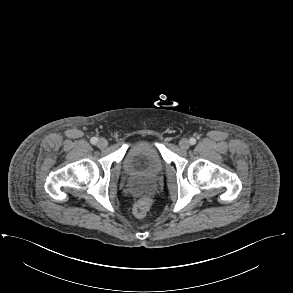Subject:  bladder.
<instances>
[{"mask_svg": "<svg viewBox=\"0 0 293 293\" xmlns=\"http://www.w3.org/2000/svg\"><path fill=\"white\" fill-rule=\"evenodd\" d=\"M123 169L129 177L151 185L162 176L164 162L156 146L141 142L128 149Z\"/></svg>", "mask_w": 293, "mask_h": 293, "instance_id": "obj_1", "label": "bladder"}]
</instances>
